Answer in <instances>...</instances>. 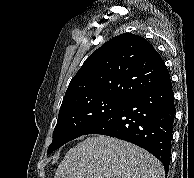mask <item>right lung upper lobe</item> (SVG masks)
<instances>
[{
    "instance_id": "right-lung-upper-lobe-1",
    "label": "right lung upper lobe",
    "mask_w": 194,
    "mask_h": 178,
    "mask_svg": "<svg viewBox=\"0 0 194 178\" xmlns=\"http://www.w3.org/2000/svg\"><path fill=\"white\" fill-rule=\"evenodd\" d=\"M170 81L160 54L143 37L120 34L98 48L69 83L61 106L84 98L128 100Z\"/></svg>"
}]
</instances>
